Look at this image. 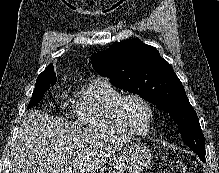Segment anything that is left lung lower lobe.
<instances>
[{"instance_id":"0a47b994","label":"left lung lower lobe","mask_w":219,"mask_h":173,"mask_svg":"<svg viewBox=\"0 0 219 173\" xmlns=\"http://www.w3.org/2000/svg\"><path fill=\"white\" fill-rule=\"evenodd\" d=\"M200 157V159L205 162V154L204 153H196Z\"/></svg>"}]
</instances>
